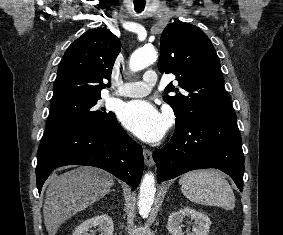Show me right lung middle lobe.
<instances>
[{"label": "right lung middle lobe", "instance_id": "right-lung-middle-lobe-1", "mask_svg": "<svg viewBox=\"0 0 283 235\" xmlns=\"http://www.w3.org/2000/svg\"><path fill=\"white\" fill-rule=\"evenodd\" d=\"M101 96L72 97L53 102L42 143L56 140L65 135L94 129L108 122L112 112H105L97 105Z\"/></svg>", "mask_w": 283, "mask_h": 235}]
</instances>
